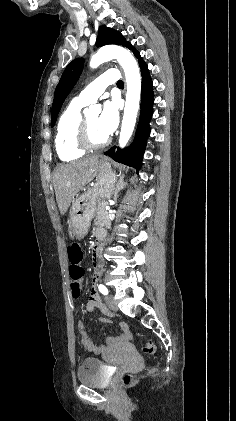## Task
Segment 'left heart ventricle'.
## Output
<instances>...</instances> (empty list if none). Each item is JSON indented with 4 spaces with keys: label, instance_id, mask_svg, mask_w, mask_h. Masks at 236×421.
Returning a JSON list of instances; mask_svg holds the SVG:
<instances>
[{
    "label": "left heart ventricle",
    "instance_id": "b2bd125f",
    "mask_svg": "<svg viewBox=\"0 0 236 421\" xmlns=\"http://www.w3.org/2000/svg\"><path fill=\"white\" fill-rule=\"evenodd\" d=\"M87 117V131L90 140L94 143H100L107 135L101 130L99 126V114H91Z\"/></svg>",
    "mask_w": 236,
    "mask_h": 421
}]
</instances>
